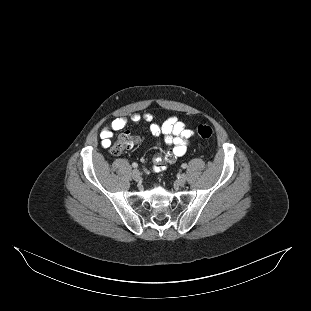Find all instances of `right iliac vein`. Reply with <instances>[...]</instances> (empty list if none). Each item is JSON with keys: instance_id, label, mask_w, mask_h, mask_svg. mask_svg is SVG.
Instances as JSON below:
<instances>
[{"instance_id": "obj_1", "label": "right iliac vein", "mask_w": 311, "mask_h": 311, "mask_svg": "<svg viewBox=\"0 0 311 311\" xmlns=\"http://www.w3.org/2000/svg\"><path fill=\"white\" fill-rule=\"evenodd\" d=\"M132 178L135 180V181H139L141 179V175H140V172L135 169L133 170L132 172Z\"/></svg>"}]
</instances>
